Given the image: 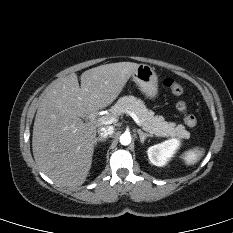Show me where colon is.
<instances>
[{
	"instance_id": "colon-1",
	"label": "colon",
	"mask_w": 233,
	"mask_h": 233,
	"mask_svg": "<svg viewBox=\"0 0 233 233\" xmlns=\"http://www.w3.org/2000/svg\"><path fill=\"white\" fill-rule=\"evenodd\" d=\"M164 86L173 94L180 95L183 91L181 84L172 77H167L163 81ZM176 108L183 115L184 123L190 127L194 128L197 125V118L195 115L187 111V106L184 101H178L176 103Z\"/></svg>"
}]
</instances>
